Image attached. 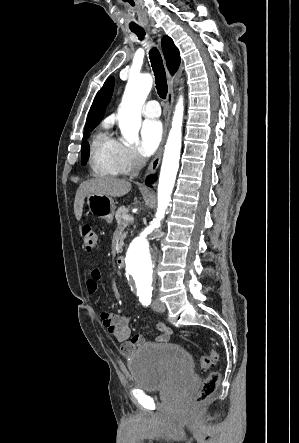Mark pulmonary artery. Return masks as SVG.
<instances>
[{"label":"pulmonary artery","mask_w":299,"mask_h":443,"mask_svg":"<svg viewBox=\"0 0 299 443\" xmlns=\"http://www.w3.org/2000/svg\"><path fill=\"white\" fill-rule=\"evenodd\" d=\"M142 112L147 118H156L160 115L161 110L156 100H150L143 106Z\"/></svg>","instance_id":"1"}]
</instances>
